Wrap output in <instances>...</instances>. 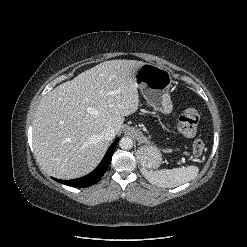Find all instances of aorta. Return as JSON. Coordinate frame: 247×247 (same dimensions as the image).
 <instances>
[{"label": "aorta", "instance_id": "obj_1", "mask_svg": "<svg viewBox=\"0 0 247 247\" xmlns=\"http://www.w3.org/2000/svg\"><path fill=\"white\" fill-rule=\"evenodd\" d=\"M121 149L130 150L133 147V140L130 137H122L119 141Z\"/></svg>", "mask_w": 247, "mask_h": 247}]
</instances>
